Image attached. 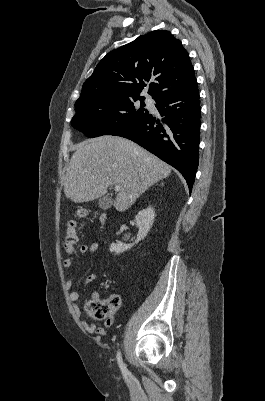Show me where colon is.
Masks as SVG:
<instances>
[{"label": "colon", "mask_w": 265, "mask_h": 401, "mask_svg": "<svg viewBox=\"0 0 265 401\" xmlns=\"http://www.w3.org/2000/svg\"><path fill=\"white\" fill-rule=\"evenodd\" d=\"M86 210H79L77 215L79 217L87 216ZM77 242V230L76 223L74 221H70L67 225L66 237L64 244L71 248L75 246ZM120 306V298L118 296H111L107 299H93L89 301L86 305V310L89 316L95 320L108 321L112 318L115 312L118 310Z\"/></svg>", "instance_id": "obj_1"}]
</instances>
